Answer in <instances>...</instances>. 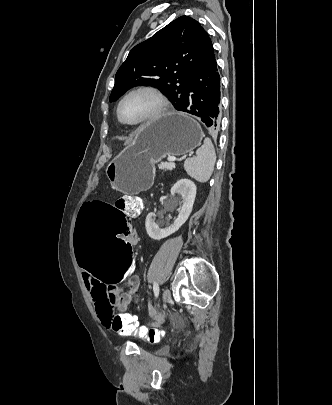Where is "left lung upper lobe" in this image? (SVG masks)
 Wrapping results in <instances>:
<instances>
[{"instance_id": "obj_1", "label": "left lung upper lobe", "mask_w": 332, "mask_h": 405, "mask_svg": "<svg viewBox=\"0 0 332 405\" xmlns=\"http://www.w3.org/2000/svg\"><path fill=\"white\" fill-rule=\"evenodd\" d=\"M211 49L212 42L198 21L188 16L175 19L129 52L116 73L110 102L134 86L150 85L176 107Z\"/></svg>"}]
</instances>
